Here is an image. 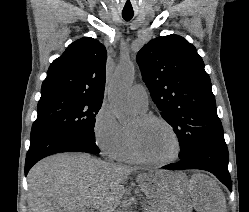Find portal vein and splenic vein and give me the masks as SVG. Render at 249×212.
I'll return each instance as SVG.
<instances>
[{"label":"portal vein and splenic vein","mask_w":249,"mask_h":212,"mask_svg":"<svg viewBox=\"0 0 249 212\" xmlns=\"http://www.w3.org/2000/svg\"><path fill=\"white\" fill-rule=\"evenodd\" d=\"M92 208L93 206H91V208H88V212H93Z\"/></svg>","instance_id":"18ae733b"}]
</instances>
